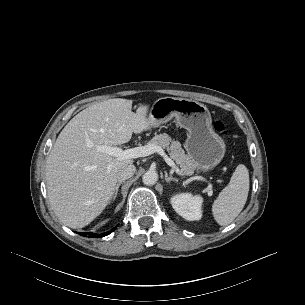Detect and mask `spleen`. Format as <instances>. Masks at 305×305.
Returning a JSON list of instances; mask_svg holds the SVG:
<instances>
[{"instance_id":"1","label":"spleen","mask_w":305,"mask_h":305,"mask_svg":"<svg viewBox=\"0 0 305 305\" xmlns=\"http://www.w3.org/2000/svg\"><path fill=\"white\" fill-rule=\"evenodd\" d=\"M249 192V173L245 165L235 169L230 183L219 193L212 205V213L216 222L226 226L240 214L247 201Z\"/></svg>"}]
</instances>
